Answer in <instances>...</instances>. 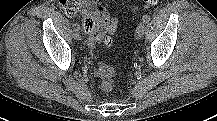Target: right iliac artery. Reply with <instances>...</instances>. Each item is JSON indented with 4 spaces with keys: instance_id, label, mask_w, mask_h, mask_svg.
Instances as JSON below:
<instances>
[{
    "instance_id": "right-iliac-artery-1",
    "label": "right iliac artery",
    "mask_w": 217,
    "mask_h": 121,
    "mask_svg": "<svg viewBox=\"0 0 217 121\" xmlns=\"http://www.w3.org/2000/svg\"><path fill=\"white\" fill-rule=\"evenodd\" d=\"M73 29L75 31H78L80 29L79 25L77 23L73 24Z\"/></svg>"
}]
</instances>
